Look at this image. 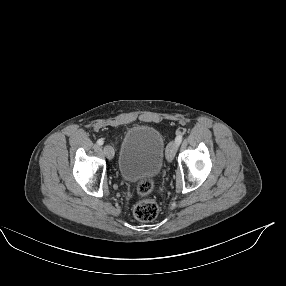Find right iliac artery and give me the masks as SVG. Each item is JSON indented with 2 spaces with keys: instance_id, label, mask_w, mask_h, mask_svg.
<instances>
[{
  "instance_id": "obj_1",
  "label": "right iliac artery",
  "mask_w": 286,
  "mask_h": 286,
  "mask_svg": "<svg viewBox=\"0 0 286 286\" xmlns=\"http://www.w3.org/2000/svg\"><path fill=\"white\" fill-rule=\"evenodd\" d=\"M97 144H98V145H103V144H104L103 139H98Z\"/></svg>"
}]
</instances>
